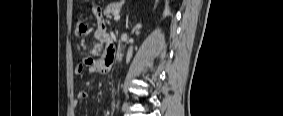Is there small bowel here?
I'll return each instance as SVG.
<instances>
[{
  "label": "small bowel",
  "mask_w": 283,
  "mask_h": 116,
  "mask_svg": "<svg viewBox=\"0 0 283 116\" xmlns=\"http://www.w3.org/2000/svg\"><path fill=\"white\" fill-rule=\"evenodd\" d=\"M93 14L97 19V29L95 31V38L100 43L108 42V34L106 32V24L103 18V13L100 7L93 8ZM87 25L80 23L78 25L77 33L83 35L87 31ZM95 51H99V46L95 48ZM114 49L109 46L103 57L99 59L83 58L75 67L76 76L80 77L87 70L90 74H105L109 71L112 64L109 63V58H114ZM89 98V92L87 90H79L76 93V101H83Z\"/></svg>",
  "instance_id": "c3829d8e"
}]
</instances>
